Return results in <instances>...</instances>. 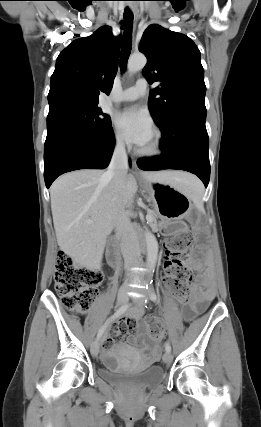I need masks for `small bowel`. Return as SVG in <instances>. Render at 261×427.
Masks as SVG:
<instances>
[{
  "instance_id": "1",
  "label": "small bowel",
  "mask_w": 261,
  "mask_h": 427,
  "mask_svg": "<svg viewBox=\"0 0 261 427\" xmlns=\"http://www.w3.org/2000/svg\"><path fill=\"white\" fill-rule=\"evenodd\" d=\"M188 264L197 269L200 268V266L193 258L188 260ZM164 268L167 272V257L164 262ZM201 285L204 287V289H201L197 285L193 288L194 301L183 312L184 318L187 320L191 319L195 314L201 312L205 308L206 304L214 297L215 287L209 275L204 274L201 277ZM131 315L132 318H121L115 324L112 330V334L103 342V347L105 349H109L115 344V342H117L119 337L126 335L129 330L137 331L135 335H129L127 337L129 345L134 348L133 355L136 358H140L141 352L145 351L147 352L148 362L154 363L158 361L160 354L158 342L162 337L159 336L158 338H154L151 336H146L143 329V321L141 320L143 315L142 308H134L131 312Z\"/></svg>"
}]
</instances>
